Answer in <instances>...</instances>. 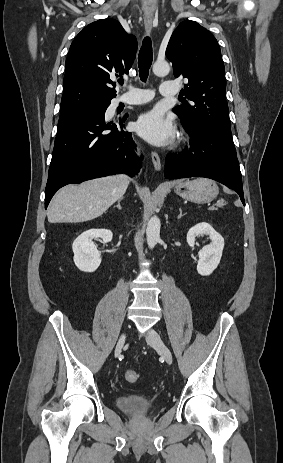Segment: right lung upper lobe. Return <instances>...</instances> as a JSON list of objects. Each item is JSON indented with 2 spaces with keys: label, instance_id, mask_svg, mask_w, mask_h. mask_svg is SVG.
I'll use <instances>...</instances> for the list:
<instances>
[{
  "label": "right lung upper lobe",
  "instance_id": "cb5924a9",
  "mask_svg": "<svg viewBox=\"0 0 283 463\" xmlns=\"http://www.w3.org/2000/svg\"><path fill=\"white\" fill-rule=\"evenodd\" d=\"M136 50L135 36L114 19L86 26L72 42L65 62L61 111L114 98L110 77L128 74Z\"/></svg>",
  "mask_w": 283,
  "mask_h": 463
}]
</instances>
